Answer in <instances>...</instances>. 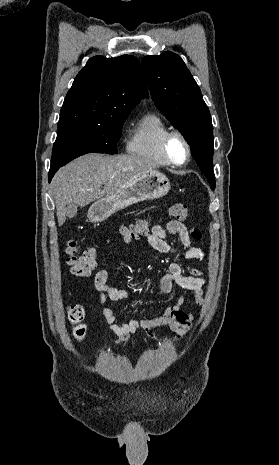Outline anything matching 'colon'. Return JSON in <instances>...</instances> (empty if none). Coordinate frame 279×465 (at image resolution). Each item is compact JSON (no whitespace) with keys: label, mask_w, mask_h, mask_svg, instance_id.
Returning <instances> with one entry per match:
<instances>
[{"label":"colon","mask_w":279,"mask_h":465,"mask_svg":"<svg viewBox=\"0 0 279 465\" xmlns=\"http://www.w3.org/2000/svg\"><path fill=\"white\" fill-rule=\"evenodd\" d=\"M171 216L177 221H183L188 216V206L183 203H175L170 207ZM148 231V222L145 219H139L133 224L121 229V234L125 240H132L145 235ZM190 235L193 239L199 240L202 234L199 229L192 228ZM67 264L70 272L78 277L88 276L97 264V252L94 248L85 250L83 253L78 252L75 240H70L66 247ZM85 312L82 306L72 305L68 308V319L73 324V334L80 338L85 333L83 320Z\"/></svg>","instance_id":"obj_1"}]
</instances>
